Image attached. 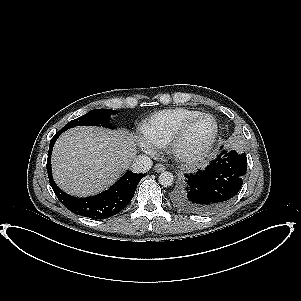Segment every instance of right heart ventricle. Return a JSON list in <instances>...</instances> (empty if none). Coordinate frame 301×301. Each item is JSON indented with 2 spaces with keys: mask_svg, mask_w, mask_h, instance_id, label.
Here are the masks:
<instances>
[{
  "mask_svg": "<svg viewBox=\"0 0 301 301\" xmlns=\"http://www.w3.org/2000/svg\"><path fill=\"white\" fill-rule=\"evenodd\" d=\"M201 112L174 108L153 113L143 123L141 130L144 137L157 148H165L180 126Z\"/></svg>",
  "mask_w": 301,
  "mask_h": 301,
  "instance_id": "right-heart-ventricle-1",
  "label": "right heart ventricle"
}]
</instances>
